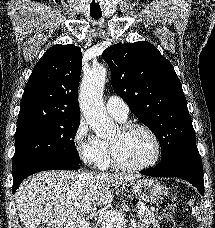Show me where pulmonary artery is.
<instances>
[{
	"mask_svg": "<svg viewBox=\"0 0 215 228\" xmlns=\"http://www.w3.org/2000/svg\"><path fill=\"white\" fill-rule=\"evenodd\" d=\"M107 111L120 121H125L128 118V106L125 101L119 97L111 96L106 102Z\"/></svg>",
	"mask_w": 215,
	"mask_h": 228,
	"instance_id": "e3ab8cb5",
	"label": "pulmonary artery"
}]
</instances>
